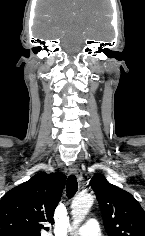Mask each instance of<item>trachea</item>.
Returning a JSON list of instances; mask_svg holds the SVG:
<instances>
[{
  "label": "trachea",
  "mask_w": 145,
  "mask_h": 236,
  "mask_svg": "<svg viewBox=\"0 0 145 236\" xmlns=\"http://www.w3.org/2000/svg\"><path fill=\"white\" fill-rule=\"evenodd\" d=\"M78 183L75 175H70L67 179L66 193L68 198H72L77 192Z\"/></svg>",
  "instance_id": "1"
}]
</instances>
